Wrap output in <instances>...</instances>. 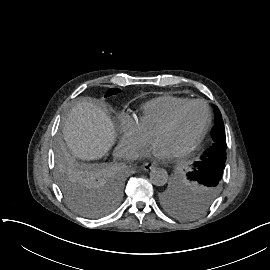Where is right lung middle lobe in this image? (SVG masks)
<instances>
[{
	"label": "right lung middle lobe",
	"instance_id": "1",
	"mask_svg": "<svg viewBox=\"0 0 270 270\" xmlns=\"http://www.w3.org/2000/svg\"><path fill=\"white\" fill-rule=\"evenodd\" d=\"M119 92L120 89H109L105 97ZM57 182L69 206L91 218L107 210L95 203L98 191H106L112 202L119 198L122 189V179L115 168L106 165L87 166L64 153H60L57 160Z\"/></svg>",
	"mask_w": 270,
	"mask_h": 270
}]
</instances>
